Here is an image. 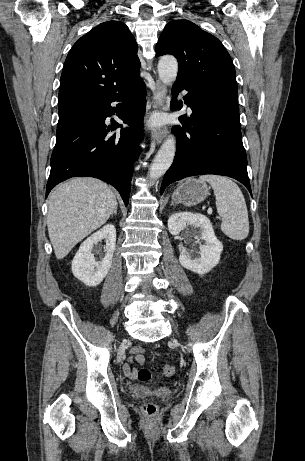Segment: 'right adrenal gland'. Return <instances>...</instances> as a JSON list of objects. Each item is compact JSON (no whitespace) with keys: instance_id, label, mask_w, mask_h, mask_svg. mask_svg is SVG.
<instances>
[{"instance_id":"2a0ac1e0","label":"right adrenal gland","mask_w":305,"mask_h":461,"mask_svg":"<svg viewBox=\"0 0 305 461\" xmlns=\"http://www.w3.org/2000/svg\"><path fill=\"white\" fill-rule=\"evenodd\" d=\"M117 208H118V205L116 206L114 212L112 213V216L117 215Z\"/></svg>"}]
</instances>
